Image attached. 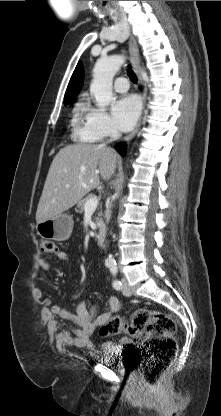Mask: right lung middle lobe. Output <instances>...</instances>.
Masks as SVG:
<instances>
[{
    "instance_id": "obj_1",
    "label": "right lung middle lobe",
    "mask_w": 221,
    "mask_h": 416,
    "mask_svg": "<svg viewBox=\"0 0 221 416\" xmlns=\"http://www.w3.org/2000/svg\"><path fill=\"white\" fill-rule=\"evenodd\" d=\"M73 102H64L65 105H71Z\"/></svg>"
}]
</instances>
